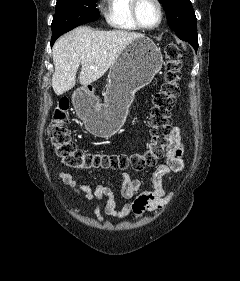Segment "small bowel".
I'll use <instances>...</instances> for the list:
<instances>
[{
	"label": "small bowel",
	"mask_w": 240,
	"mask_h": 281,
	"mask_svg": "<svg viewBox=\"0 0 240 281\" xmlns=\"http://www.w3.org/2000/svg\"><path fill=\"white\" fill-rule=\"evenodd\" d=\"M183 153L184 144L181 130L174 126L169 134L166 161L159 165L152 174L153 188L151 190H142L140 180L131 178L126 172H119L122 178L120 194L123 198L130 200L121 208H117L114 192L108 186L92 187L65 172H60L58 178L63 185L71 189L83 201H94L93 214L99 222L104 221L105 215L116 219H124L130 215L141 218L146 213L160 209L171 199L172 193L165 192L163 181L164 178L172 179L174 172H180L185 168ZM102 200H105L104 204H101Z\"/></svg>",
	"instance_id": "small-bowel-1"
}]
</instances>
